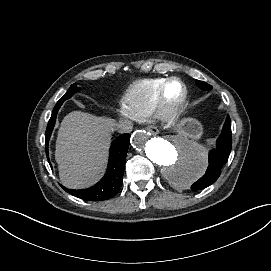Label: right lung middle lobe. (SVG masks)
I'll use <instances>...</instances> for the list:
<instances>
[{
  "label": "right lung middle lobe",
  "mask_w": 271,
  "mask_h": 271,
  "mask_svg": "<svg viewBox=\"0 0 271 271\" xmlns=\"http://www.w3.org/2000/svg\"><path fill=\"white\" fill-rule=\"evenodd\" d=\"M76 91H78L76 84H72L68 91L65 93V95L57 103L62 104L66 99L70 98Z\"/></svg>",
  "instance_id": "obj_1"
}]
</instances>
